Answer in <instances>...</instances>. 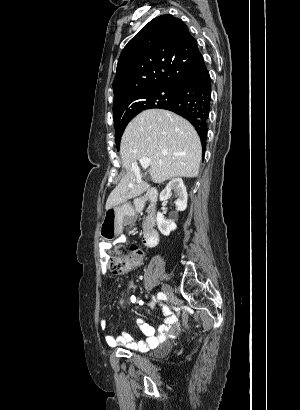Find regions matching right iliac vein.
Listing matches in <instances>:
<instances>
[{
    "label": "right iliac vein",
    "mask_w": 300,
    "mask_h": 410,
    "mask_svg": "<svg viewBox=\"0 0 300 410\" xmlns=\"http://www.w3.org/2000/svg\"><path fill=\"white\" fill-rule=\"evenodd\" d=\"M162 291L164 292L165 295H167L168 297H170L173 294L172 288L165 284L162 286Z\"/></svg>",
    "instance_id": "1"
}]
</instances>
